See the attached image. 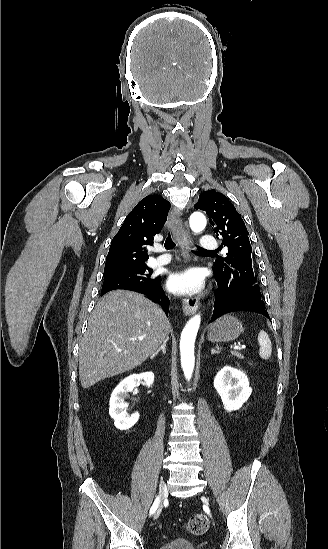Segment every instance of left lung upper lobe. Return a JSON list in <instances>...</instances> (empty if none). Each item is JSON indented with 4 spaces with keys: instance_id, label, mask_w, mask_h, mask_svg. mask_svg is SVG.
<instances>
[{
    "instance_id": "obj_1",
    "label": "left lung upper lobe",
    "mask_w": 328,
    "mask_h": 549,
    "mask_svg": "<svg viewBox=\"0 0 328 549\" xmlns=\"http://www.w3.org/2000/svg\"><path fill=\"white\" fill-rule=\"evenodd\" d=\"M194 208L205 211L217 236H222L221 248L228 249L227 257L214 264V274L225 284L247 286L261 299L257 277L252 268V247L248 231L240 214L229 199L220 192L209 190L199 196Z\"/></svg>"
}]
</instances>
